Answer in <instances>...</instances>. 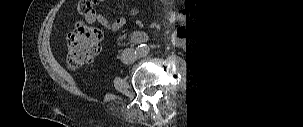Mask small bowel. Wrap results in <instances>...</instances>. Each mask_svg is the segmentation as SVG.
<instances>
[{"instance_id": "small-bowel-1", "label": "small bowel", "mask_w": 303, "mask_h": 127, "mask_svg": "<svg viewBox=\"0 0 303 127\" xmlns=\"http://www.w3.org/2000/svg\"><path fill=\"white\" fill-rule=\"evenodd\" d=\"M102 2H108L112 0H100ZM140 13V11L136 8H133L130 11V15L136 16ZM86 19L91 23H98L104 28L117 32L123 29L127 23L124 17H118L114 20H110L104 14L94 11L93 13L86 16ZM182 31L185 32V40L187 41V47L189 49H199L202 44L208 41L218 39L223 33L222 21L220 19L216 20L211 24L207 33L203 36H197L196 31L191 27H183ZM130 38L133 42H141L147 38V34L142 30H134L130 34Z\"/></svg>"}]
</instances>
